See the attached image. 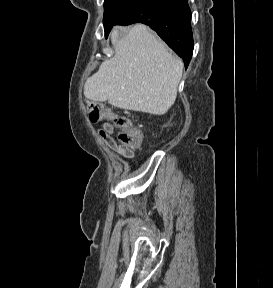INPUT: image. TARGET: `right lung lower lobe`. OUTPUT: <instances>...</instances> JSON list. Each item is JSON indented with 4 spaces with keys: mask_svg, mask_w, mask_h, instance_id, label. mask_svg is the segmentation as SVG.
Instances as JSON below:
<instances>
[{
    "mask_svg": "<svg viewBox=\"0 0 273 288\" xmlns=\"http://www.w3.org/2000/svg\"><path fill=\"white\" fill-rule=\"evenodd\" d=\"M132 23H143L156 31L188 67L194 44L187 0H137L115 25Z\"/></svg>",
    "mask_w": 273,
    "mask_h": 288,
    "instance_id": "98d812e1",
    "label": "right lung lower lobe"
}]
</instances>
